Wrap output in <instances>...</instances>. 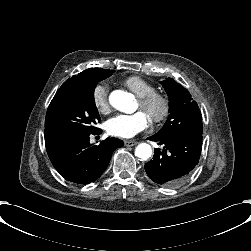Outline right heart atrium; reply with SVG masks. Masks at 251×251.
Masks as SVG:
<instances>
[{"mask_svg": "<svg viewBox=\"0 0 251 251\" xmlns=\"http://www.w3.org/2000/svg\"><path fill=\"white\" fill-rule=\"evenodd\" d=\"M92 102L94 107L100 112L105 113L109 108L108 88L105 84L99 83L92 90Z\"/></svg>", "mask_w": 251, "mask_h": 251, "instance_id": "right-heart-atrium-1", "label": "right heart atrium"}]
</instances>
